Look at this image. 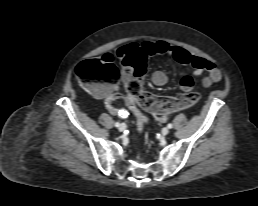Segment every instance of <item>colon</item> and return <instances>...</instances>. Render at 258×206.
<instances>
[{
    "label": "colon",
    "instance_id": "5ec220e1",
    "mask_svg": "<svg viewBox=\"0 0 258 206\" xmlns=\"http://www.w3.org/2000/svg\"><path fill=\"white\" fill-rule=\"evenodd\" d=\"M146 60L143 54H137L123 61L122 73L110 56L100 59L85 60L76 67L78 81L91 90H97L102 84H114L121 78L124 80L130 107L135 115L139 130L146 126V119L139 107L155 113L166 115L194 106L199 101L196 92H185L175 97L160 98L144 89Z\"/></svg>",
    "mask_w": 258,
    "mask_h": 206
}]
</instances>
